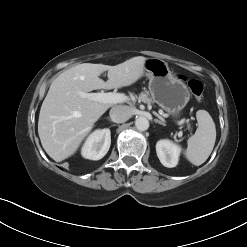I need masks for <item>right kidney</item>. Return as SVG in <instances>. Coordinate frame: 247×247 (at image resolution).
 <instances>
[{
	"mask_svg": "<svg viewBox=\"0 0 247 247\" xmlns=\"http://www.w3.org/2000/svg\"><path fill=\"white\" fill-rule=\"evenodd\" d=\"M110 145V129H98L88 136L82 147L81 154L86 159L100 160L107 154Z\"/></svg>",
	"mask_w": 247,
	"mask_h": 247,
	"instance_id": "obj_1",
	"label": "right kidney"
}]
</instances>
